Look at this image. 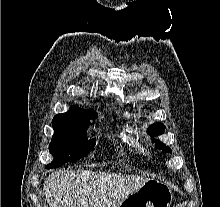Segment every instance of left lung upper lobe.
<instances>
[{"label": "left lung upper lobe", "instance_id": "left-lung-upper-lobe-1", "mask_svg": "<svg viewBox=\"0 0 220 207\" xmlns=\"http://www.w3.org/2000/svg\"><path fill=\"white\" fill-rule=\"evenodd\" d=\"M164 128H165L164 124L154 123L149 126L147 133L151 136L160 135L164 132ZM152 141L156 143L157 149H161L164 152H169V153L172 152V150L168 146H166L164 143L160 142L159 140L153 139Z\"/></svg>", "mask_w": 220, "mask_h": 207}]
</instances>
